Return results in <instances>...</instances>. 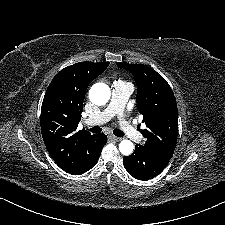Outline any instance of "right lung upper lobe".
Returning <instances> with one entry per match:
<instances>
[{
	"label": "right lung upper lobe",
	"mask_w": 225,
	"mask_h": 225,
	"mask_svg": "<svg viewBox=\"0 0 225 225\" xmlns=\"http://www.w3.org/2000/svg\"><path fill=\"white\" fill-rule=\"evenodd\" d=\"M108 62H79L62 69L48 86L41 107V132L55 163L65 172L85 171L99 149L98 135L77 131L88 85Z\"/></svg>",
	"instance_id": "obj_1"
}]
</instances>
